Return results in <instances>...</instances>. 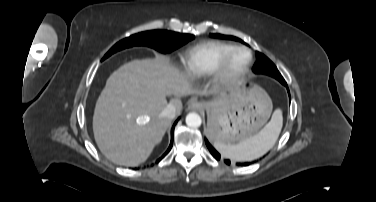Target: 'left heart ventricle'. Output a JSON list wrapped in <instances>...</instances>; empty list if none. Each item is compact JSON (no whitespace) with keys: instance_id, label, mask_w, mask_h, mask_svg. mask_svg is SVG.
<instances>
[{"instance_id":"obj_1","label":"left heart ventricle","mask_w":376,"mask_h":202,"mask_svg":"<svg viewBox=\"0 0 376 202\" xmlns=\"http://www.w3.org/2000/svg\"><path fill=\"white\" fill-rule=\"evenodd\" d=\"M247 54L246 53H238L236 54L230 61L229 68L233 71L238 70L241 68L244 63L247 61Z\"/></svg>"}]
</instances>
